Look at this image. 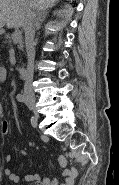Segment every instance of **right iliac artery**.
<instances>
[{
	"mask_svg": "<svg viewBox=\"0 0 119 185\" xmlns=\"http://www.w3.org/2000/svg\"><path fill=\"white\" fill-rule=\"evenodd\" d=\"M16 98H17V100H18L19 102H24V96H23V95L18 94V95L16 96Z\"/></svg>",
	"mask_w": 119,
	"mask_h": 185,
	"instance_id": "82829eb1",
	"label": "right iliac artery"
}]
</instances>
